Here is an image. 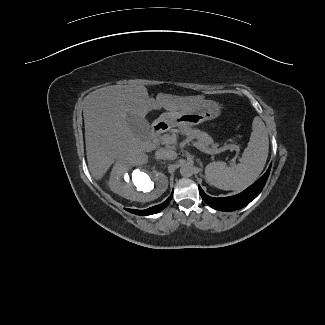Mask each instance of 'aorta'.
I'll list each match as a JSON object with an SVG mask.
<instances>
[{
  "label": "aorta",
  "mask_w": 325,
  "mask_h": 325,
  "mask_svg": "<svg viewBox=\"0 0 325 325\" xmlns=\"http://www.w3.org/2000/svg\"><path fill=\"white\" fill-rule=\"evenodd\" d=\"M194 173L193 167L190 164H184L180 167V174L183 177H191Z\"/></svg>",
  "instance_id": "obj_1"
}]
</instances>
